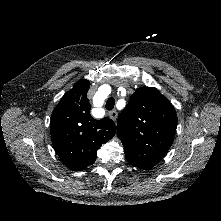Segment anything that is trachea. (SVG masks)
<instances>
[{"label":"trachea","mask_w":221,"mask_h":221,"mask_svg":"<svg viewBox=\"0 0 221 221\" xmlns=\"http://www.w3.org/2000/svg\"><path fill=\"white\" fill-rule=\"evenodd\" d=\"M115 106V99L113 97H110L107 102H106V109L107 110H112Z\"/></svg>","instance_id":"3493384b"}]
</instances>
